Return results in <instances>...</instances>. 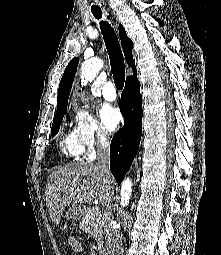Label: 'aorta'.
I'll use <instances>...</instances> for the list:
<instances>
[{"label":"aorta","mask_w":221,"mask_h":255,"mask_svg":"<svg viewBox=\"0 0 221 255\" xmlns=\"http://www.w3.org/2000/svg\"><path fill=\"white\" fill-rule=\"evenodd\" d=\"M99 67L94 66L85 72V80L91 81L94 79L96 73L98 72ZM132 193V180L130 178H125L123 183L121 184V204L126 205L128 200L130 199Z\"/></svg>","instance_id":"aorta-1"}]
</instances>
